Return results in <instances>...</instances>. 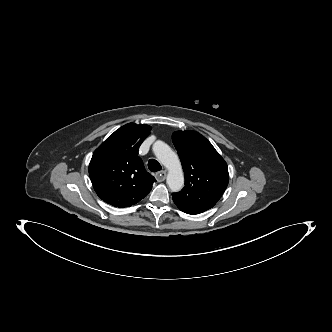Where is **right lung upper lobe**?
<instances>
[{
  "mask_svg": "<svg viewBox=\"0 0 332 332\" xmlns=\"http://www.w3.org/2000/svg\"><path fill=\"white\" fill-rule=\"evenodd\" d=\"M151 127L128 123L115 131L93 153L89 175L95 192L104 202L119 208L143 199L156 181L138 157Z\"/></svg>",
  "mask_w": 332,
  "mask_h": 332,
  "instance_id": "1",
  "label": "right lung upper lobe"
}]
</instances>
